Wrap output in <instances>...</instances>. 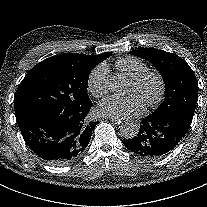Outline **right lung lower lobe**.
Instances as JSON below:
<instances>
[{"mask_svg":"<svg viewBox=\"0 0 207 207\" xmlns=\"http://www.w3.org/2000/svg\"><path fill=\"white\" fill-rule=\"evenodd\" d=\"M91 106L73 115L48 109L23 116L17 124L36 155L49 164L62 166L79 158L89 144L97 124L87 117Z\"/></svg>","mask_w":207,"mask_h":207,"instance_id":"obj_1","label":"right lung lower lobe"}]
</instances>
